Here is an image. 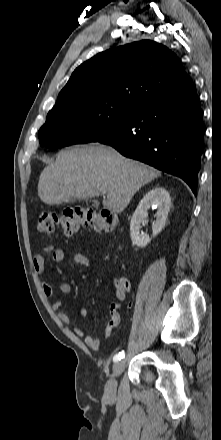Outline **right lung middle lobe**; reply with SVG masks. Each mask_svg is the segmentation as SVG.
<instances>
[{"label":"right lung middle lobe","instance_id":"dd1d6c3e","mask_svg":"<svg viewBox=\"0 0 221 440\" xmlns=\"http://www.w3.org/2000/svg\"><path fill=\"white\" fill-rule=\"evenodd\" d=\"M134 109L117 103L71 104L52 109L39 130L40 145L56 149L97 142L117 129Z\"/></svg>","mask_w":221,"mask_h":440}]
</instances>
